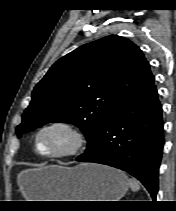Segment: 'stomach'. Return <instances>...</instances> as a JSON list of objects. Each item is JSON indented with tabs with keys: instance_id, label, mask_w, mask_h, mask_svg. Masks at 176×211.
<instances>
[{
	"instance_id": "stomach-1",
	"label": "stomach",
	"mask_w": 176,
	"mask_h": 211,
	"mask_svg": "<svg viewBox=\"0 0 176 211\" xmlns=\"http://www.w3.org/2000/svg\"><path fill=\"white\" fill-rule=\"evenodd\" d=\"M18 182L28 201H119L129 187L122 171L91 163L28 170Z\"/></svg>"
}]
</instances>
